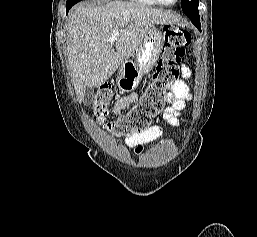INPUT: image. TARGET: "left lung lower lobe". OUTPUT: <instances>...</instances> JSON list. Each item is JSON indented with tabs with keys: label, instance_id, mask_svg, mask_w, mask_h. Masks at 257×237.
Listing matches in <instances>:
<instances>
[{
	"label": "left lung lower lobe",
	"instance_id": "0a47b994",
	"mask_svg": "<svg viewBox=\"0 0 257 237\" xmlns=\"http://www.w3.org/2000/svg\"><path fill=\"white\" fill-rule=\"evenodd\" d=\"M192 23L199 29L201 30V26H200V19H191Z\"/></svg>",
	"mask_w": 257,
	"mask_h": 237
}]
</instances>
